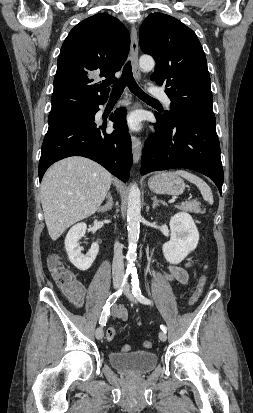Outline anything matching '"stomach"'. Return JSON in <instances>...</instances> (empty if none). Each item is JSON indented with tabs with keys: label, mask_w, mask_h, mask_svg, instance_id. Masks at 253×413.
Here are the masks:
<instances>
[{
	"label": "stomach",
	"mask_w": 253,
	"mask_h": 413,
	"mask_svg": "<svg viewBox=\"0 0 253 413\" xmlns=\"http://www.w3.org/2000/svg\"><path fill=\"white\" fill-rule=\"evenodd\" d=\"M149 188L157 194L180 195L185 182L175 172H161L148 181Z\"/></svg>",
	"instance_id": "1"
}]
</instances>
